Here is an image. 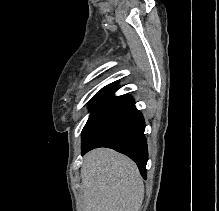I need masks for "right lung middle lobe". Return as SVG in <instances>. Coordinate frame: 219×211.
Here are the masks:
<instances>
[{
    "instance_id": "right-lung-middle-lobe-1",
    "label": "right lung middle lobe",
    "mask_w": 219,
    "mask_h": 211,
    "mask_svg": "<svg viewBox=\"0 0 219 211\" xmlns=\"http://www.w3.org/2000/svg\"><path fill=\"white\" fill-rule=\"evenodd\" d=\"M108 94H109V92H105V91L98 92L90 100V108L89 109L91 111V114H90V117H89L84 129L88 126V124L90 122V119L92 118L93 114L98 109V107L102 104V102L104 101V99L107 97Z\"/></svg>"
}]
</instances>
